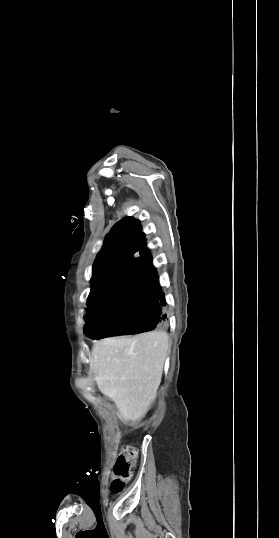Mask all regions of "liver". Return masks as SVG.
<instances>
[{"mask_svg": "<svg viewBox=\"0 0 279 538\" xmlns=\"http://www.w3.org/2000/svg\"><path fill=\"white\" fill-rule=\"evenodd\" d=\"M168 350L169 338L163 330L94 342L95 382L126 422H137L150 410Z\"/></svg>", "mask_w": 279, "mask_h": 538, "instance_id": "liver-1", "label": "liver"}]
</instances>
